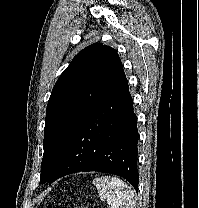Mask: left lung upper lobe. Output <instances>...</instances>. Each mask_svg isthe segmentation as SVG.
<instances>
[{"instance_id":"5c2ea615","label":"left lung upper lobe","mask_w":199,"mask_h":208,"mask_svg":"<svg viewBox=\"0 0 199 208\" xmlns=\"http://www.w3.org/2000/svg\"><path fill=\"white\" fill-rule=\"evenodd\" d=\"M125 79L117 52L102 43L73 58L48 101L40 182L49 181L76 130Z\"/></svg>"}]
</instances>
